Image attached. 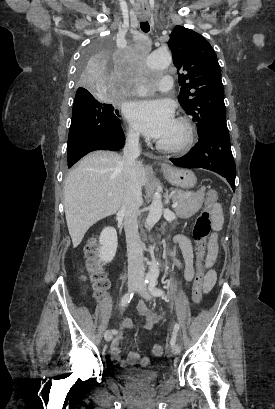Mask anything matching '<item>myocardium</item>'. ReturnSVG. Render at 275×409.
<instances>
[{
  "label": "myocardium",
  "mask_w": 275,
  "mask_h": 409,
  "mask_svg": "<svg viewBox=\"0 0 275 409\" xmlns=\"http://www.w3.org/2000/svg\"><path fill=\"white\" fill-rule=\"evenodd\" d=\"M174 123L181 129L180 138L173 143L155 141L157 149L167 153H177L185 150L193 141V127L191 123L184 118H177Z\"/></svg>",
  "instance_id": "myocardium-1"
}]
</instances>
